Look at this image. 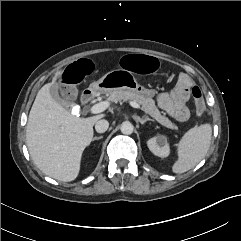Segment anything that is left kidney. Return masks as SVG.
Returning <instances> with one entry per match:
<instances>
[{
    "label": "left kidney",
    "mask_w": 241,
    "mask_h": 241,
    "mask_svg": "<svg viewBox=\"0 0 241 241\" xmlns=\"http://www.w3.org/2000/svg\"><path fill=\"white\" fill-rule=\"evenodd\" d=\"M147 146L149 150L158 157H167L170 153V148L167 138L163 135L153 137L148 140Z\"/></svg>",
    "instance_id": "5707ae66"
}]
</instances>
